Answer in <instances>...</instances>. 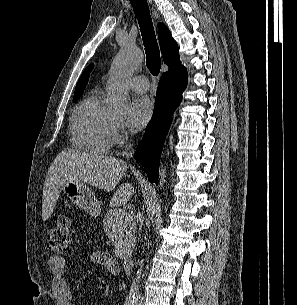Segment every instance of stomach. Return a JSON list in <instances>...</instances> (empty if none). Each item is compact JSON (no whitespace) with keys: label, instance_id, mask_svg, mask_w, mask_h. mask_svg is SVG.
I'll return each instance as SVG.
<instances>
[{"label":"stomach","instance_id":"obj_1","mask_svg":"<svg viewBox=\"0 0 297 305\" xmlns=\"http://www.w3.org/2000/svg\"><path fill=\"white\" fill-rule=\"evenodd\" d=\"M61 190L78 207L87 211L90 215L97 217L100 215V204L95 193L84 183L66 182Z\"/></svg>","mask_w":297,"mask_h":305}]
</instances>
